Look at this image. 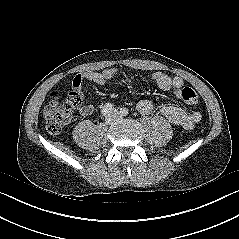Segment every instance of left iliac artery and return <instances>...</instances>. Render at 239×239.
<instances>
[{"label": "left iliac artery", "instance_id": "1", "mask_svg": "<svg viewBox=\"0 0 239 239\" xmlns=\"http://www.w3.org/2000/svg\"><path fill=\"white\" fill-rule=\"evenodd\" d=\"M120 113L122 116H126V115H128L129 111L127 108H123V109H121Z\"/></svg>", "mask_w": 239, "mask_h": 239}]
</instances>
